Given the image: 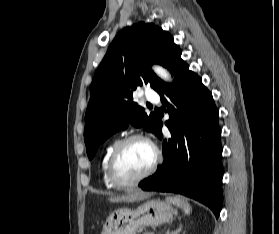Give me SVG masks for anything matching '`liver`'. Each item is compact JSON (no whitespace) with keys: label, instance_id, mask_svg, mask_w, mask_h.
Masks as SVG:
<instances>
[{"label":"liver","instance_id":"liver-1","mask_svg":"<svg viewBox=\"0 0 279 234\" xmlns=\"http://www.w3.org/2000/svg\"><path fill=\"white\" fill-rule=\"evenodd\" d=\"M150 196L149 193H144L142 191H133L126 195L117 196V197H110L109 201L113 203L118 202H135V201H141Z\"/></svg>","mask_w":279,"mask_h":234}]
</instances>
